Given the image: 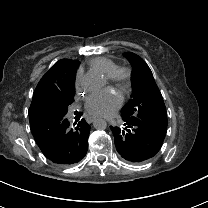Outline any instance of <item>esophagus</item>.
<instances>
[{
    "instance_id": "esophagus-1",
    "label": "esophagus",
    "mask_w": 208,
    "mask_h": 208,
    "mask_svg": "<svg viewBox=\"0 0 208 208\" xmlns=\"http://www.w3.org/2000/svg\"><path fill=\"white\" fill-rule=\"evenodd\" d=\"M95 120H96V117H94V116H89V117L86 118V121H87L88 123H92V122H94Z\"/></svg>"
}]
</instances>
